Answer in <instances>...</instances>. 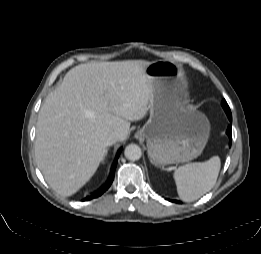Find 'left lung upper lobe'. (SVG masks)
Here are the masks:
<instances>
[{"label": "left lung upper lobe", "mask_w": 261, "mask_h": 254, "mask_svg": "<svg viewBox=\"0 0 261 254\" xmlns=\"http://www.w3.org/2000/svg\"><path fill=\"white\" fill-rule=\"evenodd\" d=\"M222 107L224 108L225 112H230V108L225 100L222 101Z\"/></svg>", "instance_id": "1"}]
</instances>
